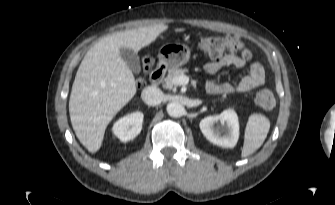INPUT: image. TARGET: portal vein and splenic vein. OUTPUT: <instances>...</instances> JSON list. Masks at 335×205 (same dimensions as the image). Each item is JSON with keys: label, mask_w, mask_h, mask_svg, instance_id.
Segmentation results:
<instances>
[{"label": "portal vein and splenic vein", "mask_w": 335, "mask_h": 205, "mask_svg": "<svg viewBox=\"0 0 335 205\" xmlns=\"http://www.w3.org/2000/svg\"><path fill=\"white\" fill-rule=\"evenodd\" d=\"M189 82V77L183 75L173 79V83L177 85H186Z\"/></svg>", "instance_id": "1"}]
</instances>
